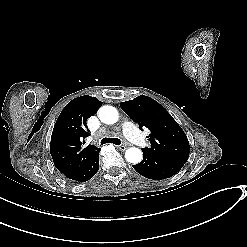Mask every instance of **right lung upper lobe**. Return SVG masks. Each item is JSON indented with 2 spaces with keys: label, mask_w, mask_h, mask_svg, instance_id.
<instances>
[{
  "label": "right lung upper lobe",
  "mask_w": 247,
  "mask_h": 247,
  "mask_svg": "<svg viewBox=\"0 0 247 247\" xmlns=\"http://www.w3.org/2000/svg\"><path fill=\"white\" fill-rule=\"evenodd\" d=\"M101 105L97 98L85 95L71 100L60 113L53 128L50 153L55 167L64 175L75 171L100 149L82 144L90 135L86 121Z\"/></svg>",
  "instance_id": "right-lung-upper-lobe-1"
}]
</instances>
